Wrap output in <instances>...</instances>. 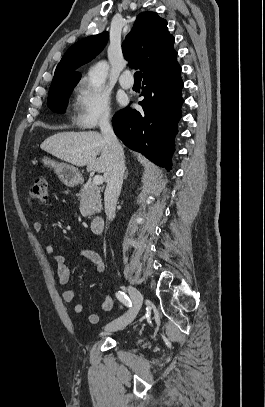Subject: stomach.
<instances>
[{
	"instance_id": "obj_1",
	"label": "stomach",
	"mask_w": 265,
	"mask_h": 407,
	"mask_svg": "<svg viewBox=\"0 0 265 407\" xmlns=\"http://www.w3.org/2000/svg\"><path fill=\"white\" fill-rule=\"evenodd\" d=\"M40 162L44 167L53 168L61 182L66 186L74 187L82 180L81 173L74 166L56 162L47 156L40 158Z\"/></svg>"
}]
</instances>
